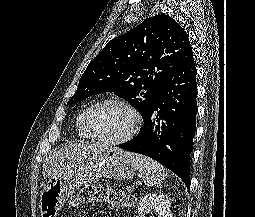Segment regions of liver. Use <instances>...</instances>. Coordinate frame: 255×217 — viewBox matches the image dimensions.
Listing matches in <instances>:
<instances>
[{
    "label": "liver",
    "instance_id": "1",
    "mask_svg": "<svg viewBox=\"0 0 255 217\" xmlns=\"http://www.w3.org/2000/svg\"><path fill=\"white\" fill-rule=\"evenodd\" d=\"M105 146L92 143H69L49 154L43 160V177L51 178L62 170L87 159L98 156Z\"/></svg>",
    "mask_w": 255,
    "mask_h": 217
}]
</instances>
